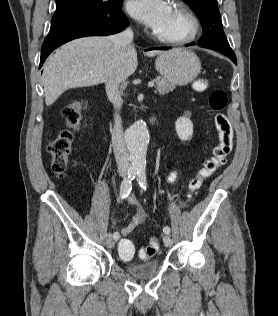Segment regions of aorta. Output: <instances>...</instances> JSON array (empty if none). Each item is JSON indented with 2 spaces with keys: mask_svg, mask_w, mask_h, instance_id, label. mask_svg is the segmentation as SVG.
I'll return each mask as SVG.
<instances>
[{
  "mask_svg": "<svg viewBox=\"0 0 278 316\" xmlns=\"http://www.w3.org/2000/svg\"><path fill=\"white\" fill-rule=\"evenodd\" d=\"M125 142L132 168L137 171H145L149 143L146 123L140 120L131 125L125 132Z\"/></svg>",
  "mask_w": 278,
  "mask_h": 316,
  "instance_id": "1",
  "label": "aorta"
}]
</instances>
